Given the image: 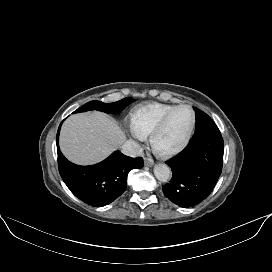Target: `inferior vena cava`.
Segmentation results:
<instances>
[{"label":"inferior vena cava","instance_id":"inferior-vena-cava-1","mask_svg":"<svg viewBox=\"0 0 272 272\" xmlns=\"http://www.w3.org/2000/svg\"><path fill=\"white\" fill-rule=\"evenodd\" d=\"M121 151H122L123 154H125L127 156H131V157H137V156H140L142 154L141 146L137 142H135L133 140L126 141L122 145Z\"/></svg>","mask_w":272,"mask_h":272}]
</instances>
